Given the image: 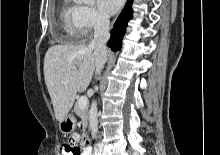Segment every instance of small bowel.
I'll return each instance as SVG.
<instances>
[{"mask_svg": "<svg viewBox=\"0 0 220 155\" xmlns=\"http://www.w3.org/2000/svg\"><path fill=\"white\" fill-rule=\"evenodd\" d=\"M67 144L68 145H74V144L88 145L89 141L85 140V137L81 136L80 133H71V135L67 139ZM82 155H88V154L85 151Z\"/></svg>", "mask_w": 220, "mask_h": 155, "instance_id": "c3829d8e", "label": "small bowel"}]
</instances>
